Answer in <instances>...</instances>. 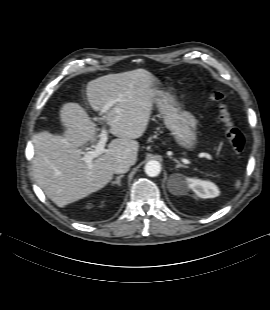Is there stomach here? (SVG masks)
<instances>
[{"instance_id":"obj_1","label":"stomach","mask_w":270,"mask_h":310,"mask_svg":"<svg viewBox=\"0 0 270 310\" xmlns=\"http://www.w3.org/2000/svg\"><path fill=\"white\" fill-rule=\"evenodd\" d=\"M153 102L162 114L164 123L172 132L176 143L189 151L195 149L197 145L195 117L190 112L182 110L168 93L156 91Z\"/></svg>"}]
</instances>
